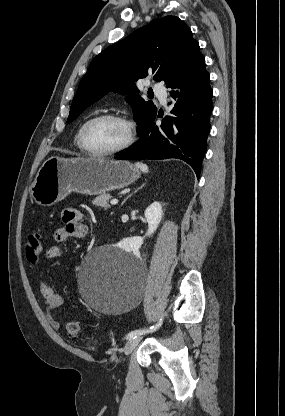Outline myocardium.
<instances>
[{
    "label": "myocardium",
    "instance_id": "obj_1",
    "mask_svg": "<svg viewBox=\"0 0 285 416\" xmlns=\"http://www.w3.org/2000/svg\"><path fill=\"white\" fill-rule=\"evenodd\" d=\"M98 119H111L119 124H121L125 130V139L122 142L121 145L118 147L106 150V151H96L91 148H89L85 141V131L86 128L93 122ZM133 142V127L131 122L123 117L122 115L116 114V113H100L96 114L92 117H90L88 120L84 122V124L81 126L80 132H79V144L84 152L91 156L95 157H106V156H115L118 154H121L125 150H127Z\"/></svg>",
    "mask_w": 285,
    "mask_h": 416
}]
</instances>
